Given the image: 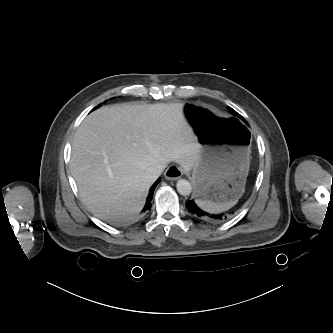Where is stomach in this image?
<instances>
[{
	"instance_id": "1",
	"label": "stomach",
	"mask_w": 333,
	"mask_h": 333,
	"mask_svg": "<svg viewBox=\"0 0 333 333\" xmlns=\"http://www.w3.org/2000/svg\"><path fill=\"white\" fill-rule=\"evenodd\" d=\"M181 122L195 133L201 146L192 172L195 197L221 205L236 204L249 171L250 130L199 102L184 107Z\"/></svg>"
}]
</instances>
